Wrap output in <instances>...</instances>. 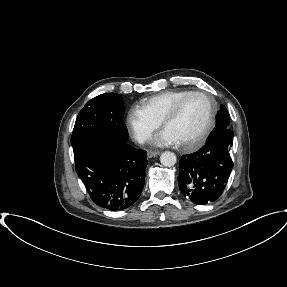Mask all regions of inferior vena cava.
Wrapping results in <instances>:
<instances>
[{"label":"inferior vena cava","mask_w":287,"mask_h":287,"mask_svg":"<svg viewBox=\"0 0 287 287\" xmlns=\"http://www.w3.org/2000/svg\"><path fill=\"white\" fill-rule=\"evenodd\" d=\"M147 139H148V137H142L139 142L144 143Z\"/></svg>","instance_id":"1"}]
</instances>
